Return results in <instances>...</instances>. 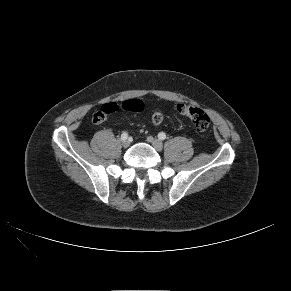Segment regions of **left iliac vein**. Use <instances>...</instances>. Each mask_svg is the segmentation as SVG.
Here are the masks:
<instances>
[{
	"label": "left iliac vein",
	"instance_id": "left-iliac-vein-1",
	"mask_svg": "<svg viewBox=\"0 0 291 291\" xmlns=\"http://www.w3.org/2000/svg\"><path fill=\"white\" fill-rule=\"evenodd\" d=\"M148 142H150L152 144V146L157 150V151H161L163 148V144L160 140L153 138L152 136H149L147 138Z\"/></svg>",
	"mask_w": 291,
	"mask_h": 291
}]
</instances>
